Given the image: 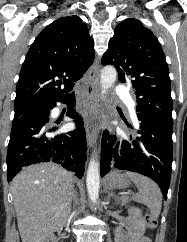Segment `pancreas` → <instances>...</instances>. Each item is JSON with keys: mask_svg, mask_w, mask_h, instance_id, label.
<instances>
[{"mask_svg": "<svg viewBox=\"0 0 187 242\" xmlns=\"http://www.w3.org/2000/svg\"><path fill=\"white\" fill-rule=\"evenodd\" d=\"M120 200H122L123 202H128L129 201V198L128 197H126V196H123V197H121L120 198Z\"/></svg>", "mask_w": 187, "mask_h": 242, "instance_id": "1", "label": "pancreas"}]
</instances>
